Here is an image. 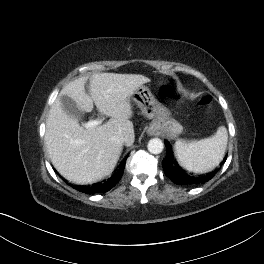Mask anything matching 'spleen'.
<instances>
[{
    "mask_svg": "<svg viewBox=\"0 0 264 264\" xmlns=\"http://www.w3.org/2000/svg\"><path fill=\"white\" fill-rule=\"evenodd\" d=\"M228 142L227 129L220 126L214 136L199 141L177 140L175 153L180 165L196 173L213 170L223 159Z\"/></svg>",
    "mask_w": 264,
    "mask_h": 264,
    "instance_id": "1",
    "label": "spleen"
}]
</instances>
